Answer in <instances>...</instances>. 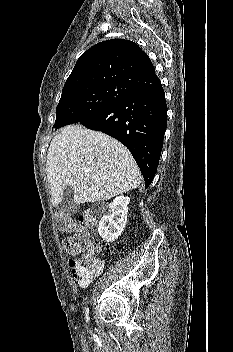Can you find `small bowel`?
Listing matches in <instances>:
<instances>
[{
	"instance_id": "small-bowel-1",
	"label": "small bowel",
	"mask_w": 233,
	"mask_h": 352,
	"mask_svg": "<svg viewBox=\"0 0 233 352\" xmlns=\"http://www.w3.org/2000/svg\"><path fill=\"white\" fill-rule=\"evenodd\" d=\"M72 262H73V260H70V261H69V266H70V267H71V265H72ZM91 280H92V278L89 279V280H87V281H80V280H78V283H79V285H80L81 287H86V286L91 282Z\"/></svg>"
}]
</instances>
